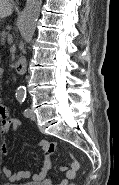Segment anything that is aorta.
Returning a JSON list of instances; mask_svg holds the SVG:
<instances>
[{
    "label": "aorta",
    "instance_id": "obj_1",
    "mask_svg": "<svg viewBox=\"0 0 119 185\" xmlns=\"http://www.w3.org/2000/svg\"><path fill=\"white\" fill-rule=\"evenodd\" d=\"M42 0H27L21 19V34L25 43H29L34 35L36 23L39 18ZM17 94L25 95L26 88L20 86L17 88Z\"/></svg>",
    "mask_w": 119,
    "mask_h": 185
}]
</instances>
